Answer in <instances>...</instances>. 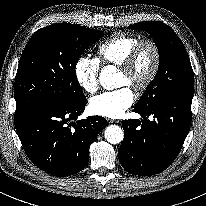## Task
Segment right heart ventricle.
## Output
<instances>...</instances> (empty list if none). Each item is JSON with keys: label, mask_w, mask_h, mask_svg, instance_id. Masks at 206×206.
<instances>
[{"label": "right heart ventricle", "mask_w": 206, "mask_h": 206, "mask_svg": "<svg viewBox=\"0 0 206 206\" xmlns=\"http://www.w3.org/2000/svg\"><path fill=\"white\" fill-rule=\"evenodd\" d=\"M140 40L134 35H115L97 48L98 61L103 65H115L120 67L132 47Z\"/></svg>", "instance_id": "obj_1"}]
</instances>
